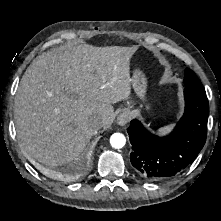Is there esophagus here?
I'll list each match as a JSON object with an SVG mask.
<instances>
[{
	"instance_id": "34e87169",
	"label": "esophagus",
	"mask_w": 221,
	"mask_h": 221,
	"mask_svg": "<svg viewBox=\"0 0 221 221\" xmlns=\"http://www.w3.org/2000/svg\"><path fill=\"white\" fill-rule=\"evenodd\" d=\"M129 118H130L129 112L124 111L117 117V123L120 126H124L129 121Z\"/></svg>"
}]
</instances>
